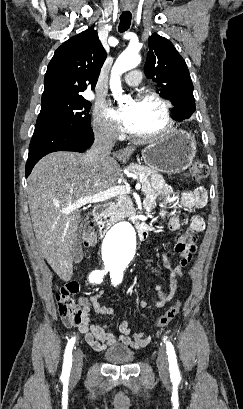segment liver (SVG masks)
Masks as SVG:
<instances>
[{"label":"liver","instance_id":"1","mask_svg":"<svg viewBox=\"0 0 243 409\" xmlns=\"http://www.w3.org/2000/svg\"><path fill=\"white\" fill-rule=\"evenodd\" d=\"M134 151L135 147H126L97 167L87 163L83 154L58 151L34 166L27 185L33 229L43 256L62 280L69 281L73 274L71 249L81 220L79 209L62 210L80 198L111 188L121 174L116 159L126 163Z\"/></svg>","mask_w":243,"mask_h":409}]
</instances>
